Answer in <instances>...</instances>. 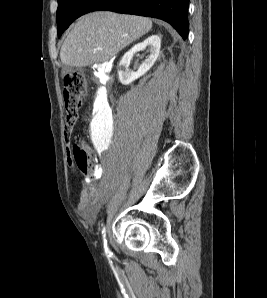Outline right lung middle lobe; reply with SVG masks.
Instances as JSON below:
<instances>
[{"instance_id":"dd1d6c3e","label":"right lung middle lobe","mask_w":267,"mask_h":298,"mask_svg":"<svg viewBox=\"0 0 267 298\" xmlns=\"http://www.w3.org/2000/svg\"><path fill=\"white\" fill-rule=\"evenodd\" d=\"M99 0H58V36L78 17L91 11Z\"/></svg>"}]
</instances>
